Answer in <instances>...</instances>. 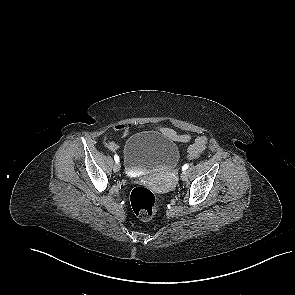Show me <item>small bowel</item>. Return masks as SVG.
Wrapping results in <instances>:
<instances>
[{
    "mask_svg": "<svg viewBox=\"0 0 295 295\" xmlns=\"http://www.w3.org/2000/svg\"><path fill=\"white\" fill-rule=\"evenodd\" d=\"M131 129V124L124 123H118L114 127L115 132L121 134L123 137L128 136ZM159 130L166 137L177 142L187 143L191 140V136L189 134H179L175 130L168 127H159ZM207 142L208 140L205 136L196 137L194 142L188 148V158L195 159L200 156V154L206 149ZM103 144L111 152H117L119 150V145L108 136H104Z\"/></svg>",
    "mask_w": 295,
    "mask_h": 295,
    "instance_id": "small-bowel-1",
    "label": "small bowel"
}]
</instances>
